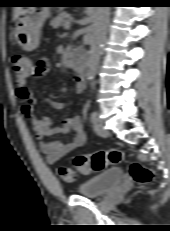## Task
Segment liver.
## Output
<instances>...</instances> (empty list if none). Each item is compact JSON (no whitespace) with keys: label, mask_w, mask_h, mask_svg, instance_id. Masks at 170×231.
I'll return each mask as SVG.
<instances>
[{"label":"liver","mask_w":170,"mask_h":231,"mask_svg":"<svg viewBox=\"0 0 170 231\" xmlns=\"http://www.w3.org/2000/svg\"><path fill=\"white\" fill-rule=\"evenodd\" d=\"M23 10H24L23 7H15L14 8L13 20H16Z\"/></svg>","instance_id":"liver-1"}]
</instances>
